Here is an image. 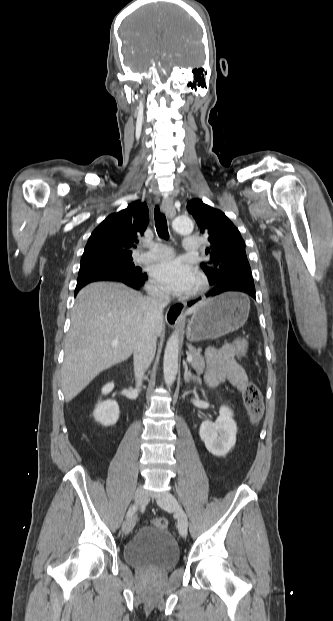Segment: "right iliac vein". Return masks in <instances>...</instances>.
Returning a JSON list of instances; mask_svg holds the SVG:
<instances>
[{"label": "right iliac vein", "instance_id": "right-iliac-vein-1", "mask_svg": "<svg viewBox=\"0 0 333 621\" xmlns=\"http://www.w3.org/2000/svg\"><path fill=\"white\" fill-rule=\"evenodd\" d=\"M136 504H141L146 499V493L142 485H139L135 491L134 496ZM135 516H131L127 518V520L123 523L122 529L125 534H129L135 526Z\"/></svg>", "mask_w": 333, "mask_h": 621}]
</instances>
